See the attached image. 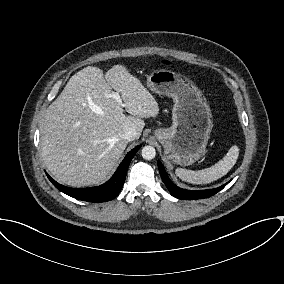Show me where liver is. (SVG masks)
<instances>
[{"label": "liver", "instance_id": "obj_1", "mask_svg": "<svg viewBox=\"0 0 284 284\" xmlns=\"http://www.w3.org/2000/svg\"><path fill=\"white\" fill-rule=\"evenodd\" d=\"M112 89L121 94L124 106L110 96ZM158 113L155 98L125 66L114 65L105 75L88 66L70 78L47 109L40 143L46 167L62 184H101L127 146L124 131L132 128L139 138L143 119Z\"/></svg>", "mask_w": 284, "mask_h": 284}]
</instances>
